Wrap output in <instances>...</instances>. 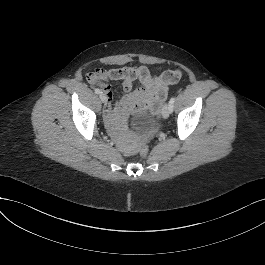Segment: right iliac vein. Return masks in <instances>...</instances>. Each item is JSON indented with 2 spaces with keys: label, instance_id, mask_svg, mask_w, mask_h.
Returning a JSON list of instances; mask_svg holds the SVG:
<instances>
[{
  "label": "right iliac vein",
  "instance_id": "63e3f726",
  "mask_svg": "<svg viewBox=\"0 0 265 265\" xmlns=\"http://www.w3.org/2000/svg\"><path fill=\"white\" fill-rule=\"evenodd\" d=\"M100 99H101V101L103 102V103H105L106 102V96L104 95V94H100Z\"/></svg>",
  "mask_w": 265,
  "mask_h": 265
}]
</instances>
